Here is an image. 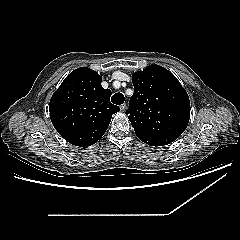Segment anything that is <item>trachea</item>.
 <instances>
[{"label": "trachea", "mask_w": 240, "mask_h": 240, "mask_svg": "<svg viewBox=\"0 0 240 240\" xmlns=\"http://www.w3.org/2000/svg\"><path fill=\"white\" fill-rule=\"evenodd\" d=\"M124 100H125V97L122 93H115L111 98L112 103L116 105L122 104Z\"/></svg>", "instance_id": "1"}]
</instances>
